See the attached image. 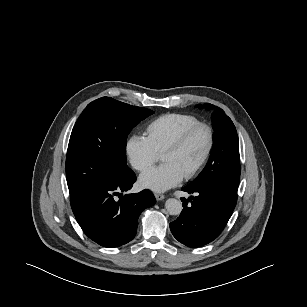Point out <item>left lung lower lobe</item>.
I'll list each match as a JSON object with an SVG mask.
<instances>
[{"instance_id":"0a47b994","label":"left lung lower lobe","mask_w":307,"mask_h":307,"mask_svg":"<svg viewBox=\"0 0 307 307\" xmlns=\"http://www.w3.org/2000/svg\"><path fill=\"white\" fill-rule=\"evenodd\" d=\"M182 190L189 194L195 193L196 196H191L188 200L181 199L184 208L180 216L170 223L171 232L186 246L206 245L224 229L237 199L212 184H189Z\"/></svg>"}]
</instances>
